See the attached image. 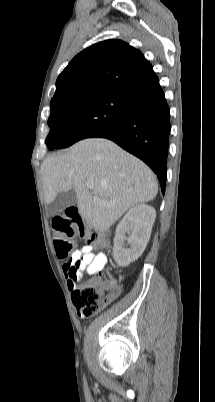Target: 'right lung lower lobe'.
I'll use <instances>...</instances> for the list:
<instances>
[{
	"label": "right lung lower lobe",
	"instance_id": "right-lung-lower-lobe-1",
	"mask_svg": "<svg viewBox=\"0 0 215 402\" xmlns=\"http://www.w3.org/2000/svg\"><path fill=\"white\" fill-rule=\"evenodd\" d=\"M170 130L169 106L161 91L136 101L120 123L94 137L110 139L143 160L157 175L164 194Z\"/></svg>",
	"mask_w": 215,
	"mask_h": 402
}]
</instances>
